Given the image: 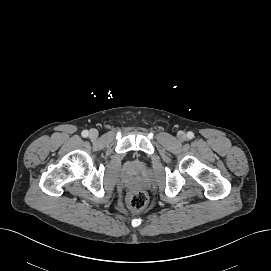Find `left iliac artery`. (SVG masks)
Returning a JSON list of instances; mask_svg holds the SVG:
<instances>
[{
  "mask_svg": "<svg viewBox=\"0 0 271 271\" xmlns=\"http://www.w3.org/2000/svg\"><path fill=\"white\" fill-rule=\"evenodd\" d=\"M187 137H188L189 139H192V138L194 137L193 132L189 131V132L187 133Z\"/></svg>",
  "mask_w": 271,
  "mask_h": 271,
  "instance_id": "left-iliac-artery-1",
  "label": "left iliac artery"
}]
</instances>
